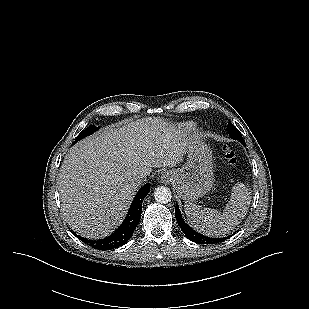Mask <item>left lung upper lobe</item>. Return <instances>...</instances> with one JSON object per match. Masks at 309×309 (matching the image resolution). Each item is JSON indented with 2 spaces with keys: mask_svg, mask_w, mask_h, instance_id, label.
Returning a JSON list of instances; mask_svg holds the SVG:
<instances>
[{
  "mask_svg": "<svg viewBox=\"0 0 309 309\" xmlns=\"http://www.w3.org/2000/svg\"><path fill=\"white\" fill-rule=\"evenodd\" d=\"M228 132L232 139H236L239 141L243 140L239 130L230 121L228 123Z\"/></svg>",
  "mask_w": 309,
  "mask_h": 309,
  "instance_id": "left-lung-upper-lobe-1",
  "label": "left lung upper lobe"
}]
</instances>
